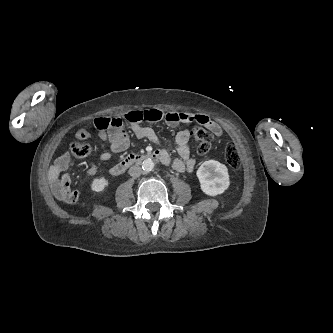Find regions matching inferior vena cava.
Here are the masks:
<instances>
[{
	"label": "inferior vena cava",
	"mask_w": 333,
	"mask_h": 333,
	"mask_svg": "<svg viewBox=\"0 0 333 333\" xmlns=\"http://www.w3.org/2000/svg\"><path fill=\"white\" fill-rule=\"evenodd\" d=\"M142 174V169L140 166H132L130 167L129 169V175L136 178V177H139L140 175Z\"/></svg>",
	"instance_id": "obj_1"
}]
</instances>
